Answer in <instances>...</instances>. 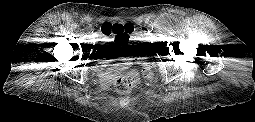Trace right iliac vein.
Wrapping results in <instances>:
<instances>
[{"instance_id": "right-iliac-vein-1", "label": "right iliac vein", "mask_w": 255, "mask_h": 122, "mask_svg": "<svg viewBox=\"0 0 255 122\" xmlns=\"http://www.w3.org/2000/svg\"><path fill=\"white\" fill-rule=\"evenodd\" d=\"M92 36H93V37H97V34L94 33V32H92Z\"/></svg>"}]
</instances>
